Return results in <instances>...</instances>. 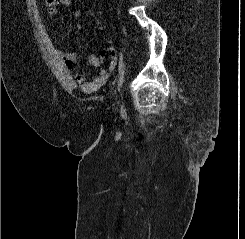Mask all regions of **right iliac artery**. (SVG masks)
<instances>
[{
    "instance_id": "obj_1",
    "label": "right iliac artery",
    "mask_w": 245,
    "mask_h": 239,
    "mask_svg": "<svg viewBox=\"0 0 245 239\" xmlns=\"http://www.w3.org/2000/svg\"><path fill=\"white\" fill-rule=\"evenodd\" d=\"M123 69H124V62H123V55L121 54L119 68H118V78H119L118 86H120L121 84V78L124 73Z\"/></svg>"
}]
</instances>
